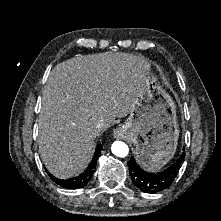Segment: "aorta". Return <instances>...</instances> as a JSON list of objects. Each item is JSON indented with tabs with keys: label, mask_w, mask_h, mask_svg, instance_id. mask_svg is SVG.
<instances>
[{
	"label": "aorta",
	"mask_w": 221,
	"mask_h": 221,
	"mask_svg": "<svg viewBox=\"0 0 221 221\" xmlns=\"http://www.w3.org/2000/svg\"><path fill=\"white\" fill-rule=\"evenodd\" d=\"M112 153L117 157L124 158L129 153V148L126 143L122 141H115L111 147Z\"/></svg>",
	"instance_id": "762f6f07"
}]
</instances>
